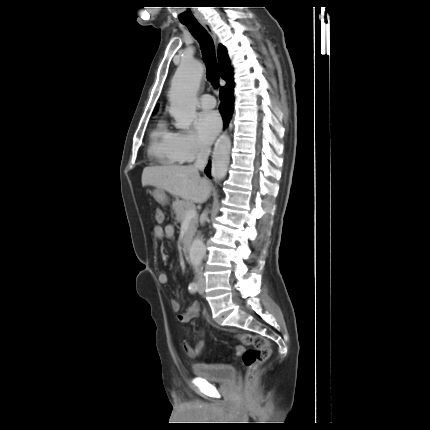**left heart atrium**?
Listing matches in <instances>:
<instances>
[{
	"label": "left heart atrium",
	"mask_w": 430,
	"mask_h": 430,
	"mask_svg": "<svg viewBox=\"0 0 430 430\" xmlns=\"http://www.w3.org/2000/svg\"><path fill=\"white\" fill-rule=\"evenodd\" d=\"M195 126L200 142L209 145L221 129V119L215 111L202 112Z\"/></svg>",
	"instance_id": "1"
}]
</instances>
